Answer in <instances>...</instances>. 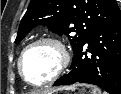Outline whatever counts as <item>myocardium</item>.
<instances>
[{"instance_id":"1","label":"myocardium","mask_w":121,"mask_h":94,"mask_svg":"<svg viewBox=\"0 0 121 94\" xmlns=\"http://www.w3.org/2000/svg\"><path fill=\"white\" fill-rule=\"evenodd\" d=\"M43 44L50 45L55 48L58 54V62L53 74L49 78H47L45 81L40 83H33L29 81L25 76L22 69V62H23L24 56L30 49ZM69 63H70V53L66 48V46L63 44V42L55 37L44 36L32 41L31 43H29L23 48L17 61V69H18L19 75L21 76L24 82H26L27 84L33 87H42V86L51 84L54 81H56L58 78H60L62 74L65 72V70L67 69V67L69 66Z\"/></svg>"}]
</instances>
